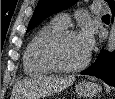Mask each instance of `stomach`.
I'll use <instances>...</instances> for the list:
<instances>
[{
  "mask_svg": "<svg viewBox=\"0 0 115 99\" xmlns=\"http://www.w3.org/2000/svg\"><path fill=\"white\" fill-rule=\"evenodd\" d=\"M100 91L101 87L94 82L83 81L76 85V92L82 97H92Z\"/></svg>",
  "mask_w": 115,
  "mask_h": 99,
  "instance_id": "stomach-1",
  "label": "stomach"
}]
</instances>
